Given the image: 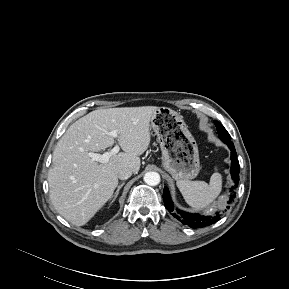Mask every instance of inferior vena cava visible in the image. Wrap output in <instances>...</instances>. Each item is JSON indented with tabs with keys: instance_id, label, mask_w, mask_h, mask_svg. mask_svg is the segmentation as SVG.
Returning <instances> with one entry per match:
<instances>
[{
	"instance_id": "602c4592",
	"label": "inferior vena cava",
	"mask_w": 289,
	"mask_h": 289,
	"mask_svg": "<svg viewBox=\"0 0 289 289\" xmlns=\"http://www.w3.org/2000/svg\"><path fill=\"white\" fill-rule=\"evenodd\" d=\"M132 174H133V171L131 169L124 168V169L119 171L118 178L120 180H126V179L130 178Z\"/></svg>"
}]
</instances>
